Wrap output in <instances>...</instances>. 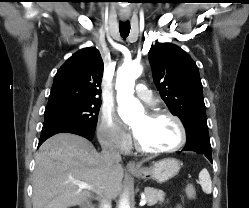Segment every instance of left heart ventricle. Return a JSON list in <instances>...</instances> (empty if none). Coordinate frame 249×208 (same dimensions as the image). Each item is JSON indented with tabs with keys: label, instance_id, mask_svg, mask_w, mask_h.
Masks as SVG:
<instances>
[{
	"label": "left heart ventricle",
	"instance_id": "b2bd125f",
	"mask_svg": "<svg viewBox=\"0 0 249 208\" xmlns=\"http://www.w3.org/2000/svg\"><path fill=\"white\" fill-rule=\"evenodd\" d=\"M133 128L138 141L148 149H168L180 139L177 124L168 117L151 118L148 114L143 115L135 121Z\"/></svg>",
	"mask_w": 249,
	"mask_h": 208
}]
</instances>
